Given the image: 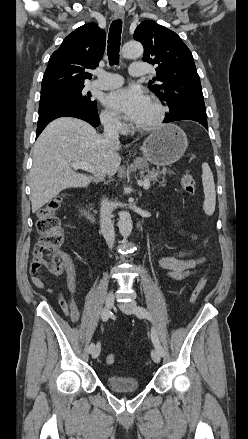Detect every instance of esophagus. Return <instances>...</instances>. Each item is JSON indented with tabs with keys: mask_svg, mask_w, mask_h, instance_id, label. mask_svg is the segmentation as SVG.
Segmentation results:
<instances>
[{
	"mask_svg": "<svg viewBox=\"0 0 248 439\" xmlns=\"http://www.w3.org/2000/svg\"><path fill=\"white\" fill-rule=\"evenodd\" d=\"M114 17L116 19H123L124 18V10L121 7H117L115 9V12H114Z\"/></svg>",
	"mask_w": 248,
	"mask_h": 439,
	"instance_id": "obj_1",
	"label": "esophagus"
}]
</instances>
